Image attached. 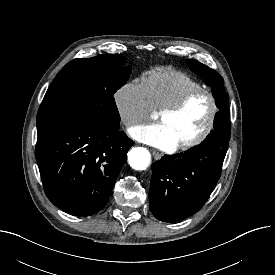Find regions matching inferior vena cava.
<instances>
[{
	"mask_svg": "<svg viewBox=\"0 0 275 275\" xmlns=\"http://www.w3.org/2000/svg\"><path fill=\"white\" fill-rule=\"evenodd\" d=\"M131 123H132V121H128V122H127V124H131Z\"/></svg>",
	"mask_w": 275,
	"mask_h": 275,
	"instance_id": "inferior-vena-cava-1",
	"label": "inferior vena cava"
}]
</instances>
